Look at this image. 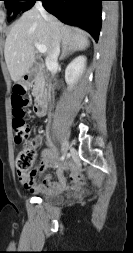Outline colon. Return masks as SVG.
Returning a JSON list of instances; mask_svg holds the SVG:
<instances>
[{"label":"colon","mask_w":133,"mask_h":253,"mask_svg":"<svg viewBox=\"0 0 133 253\" xmlns=\"http://www.w3.org/2000/svg\"><path fill=\"white\" fill-rule=\"evenodd\" d=\"M26 105L24 90L17 87L12 96L14 139L17 144L23 143L25 145L16 159V166L19 171L30 169L35 157L34 138L31 137L30 126L24 119Z\"/></svg>","instance_id":"1"}]
</instances>
